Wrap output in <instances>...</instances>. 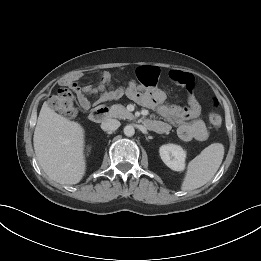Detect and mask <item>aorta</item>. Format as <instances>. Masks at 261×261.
Masks as SVG:
<instances>
[{
    "label": "aorta",
    "instance_id": "aorta-1",
    "mask_svg": "<svg viewBox=\"0 0 261 261\" xmlns=\"http://www.w3.org/2000/svg\"><path fill=\"white\" fill-rule=\"evenodd\" d=\"M124 134L128 137H131L135 134V129L132 125H127L124 127Z\"/></svg>",
    "mask_w": 261,
    "mask_h": 261
}]
</instances>
